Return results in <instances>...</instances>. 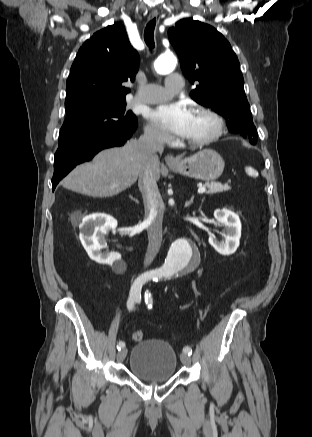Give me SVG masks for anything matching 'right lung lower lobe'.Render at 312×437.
Returning a JSON list of instances; mask_svg holds the SVG:
<instances>
[{"label":"right lung lower lobe","mask_w":312,"mask_h":437,"mask_svg":"<svg viewBox=\"0 0 312 437\" xmlns=\"http://www.w3.org/2000/svg\"><path fill=\"white\" fill-rule=\"evenodd\" d=\"M136 127L137 123L122 130L93 135L67 146L58 147L54 156L52 190L54 191L59 181L74 167L89 161L100 150L123 145L132 136Z\"/></svg>","instance_id":"obj_1"}]
</instances>
